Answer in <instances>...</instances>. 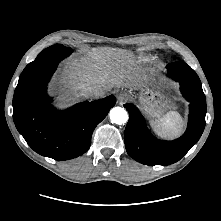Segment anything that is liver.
<instances>
[{
	"label": "liver",
	"mask_w": 221,
	"mask_h": 221,
	"mask_svg": "<svg viewBox=\"0 0 221 221\" xmlns=\"http://www.w3.org/2000/svg\"><path fill=\"white\" fill-rule=\"evenodd\" d=\"M61 81L73 99L88 86L99 87L104 95L114 87L138 90L146 82L135 71L132 53L115 48H94L87 58L69 61Z\"/></svg>",
	"instance_id": "obj_1"
}]
</instances>
